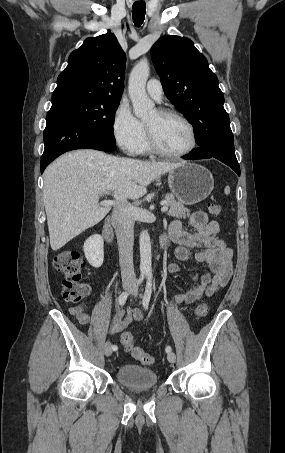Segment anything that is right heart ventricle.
<instances>
[{"label":"right heart ventricle","mask_w":285,"mask_h":453,"mask_svg":"<svg viewBox=\"0 0 285 453\" xmlns=\"http://www.w3.org/2000/svg\"><path fill=\"white\" fill-rule=\"evenodd\" d=\"M150 151L151 150H150V148L148 146L146 132H145L143 140H142L140 148H139V153H149Z\"/></svg>","instance_id":"obj_1"}]
</instances>
